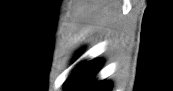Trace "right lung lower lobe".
<instances>
[{
    "mask_svg": "<svg viewBox=\"0 0 173 91\" xmlns=\"http://www.w3.org/2000/svg\"><path fill=\"white\" fill-rule=\"evenodd\" d=\"M101 61L82 63L68 77L65 88L67 91H106L110 84L100 81L93 83L92 79L101 67Z\"/></svg>",
    "mask_w": 173,
    "mask_h": 91,
    "instance_id": "1",
    "label": "right lung lower lobe"
}]
</instances>
